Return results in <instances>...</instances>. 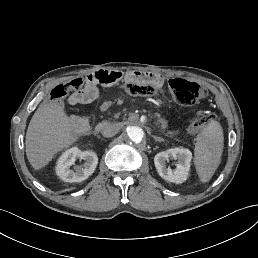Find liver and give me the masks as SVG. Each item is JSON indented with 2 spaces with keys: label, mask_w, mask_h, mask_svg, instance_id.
Here are the masks:
<instances>
[{
  "label": "liver",
  "mask_w": 258,
  "mask_h": 258,
  "mask_svg": "<svg viewBox=\"0 0 258 258\" xmlns=\"http://www.w3.org/2000/svg\"><path fill=\"white\" fill-rule=\"evenodd\" d=\"M79 118L68 117L58 102L41 104L30 120L26 133V155L35 170L46 166L54 154L77 141L74 127Z\"/></svg>",
  "instance_id": "liver-1"
}]
</instances>
